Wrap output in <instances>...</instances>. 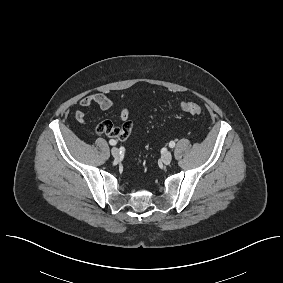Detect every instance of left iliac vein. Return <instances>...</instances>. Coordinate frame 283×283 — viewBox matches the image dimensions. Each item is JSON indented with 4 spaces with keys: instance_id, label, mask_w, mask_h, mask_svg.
<instances>
[{
    "instance_id": "left-iliac-vein-1",
    "label": "left iliac vein",
    "mask_w": 283,
    "mask_h": 283,
    "mask_svg": "<svg viewBox=\"0 0 283 283\" xmlns=\"http://www.w3.org/2000/svg\"><path fill=\"white\" fill-rule=\"evenodd\" d=\"M172 160V153L171 152H166L162 155V162L165 164V165H169L170 162Z\"/></svg>"
}]
</instances>
